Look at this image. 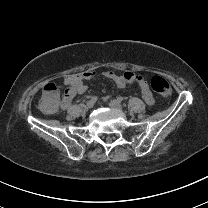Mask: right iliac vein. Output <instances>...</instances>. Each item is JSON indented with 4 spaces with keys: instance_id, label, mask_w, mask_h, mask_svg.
<instances>
[{
    "instance_id": "1",
    "label": "right iliac vein",
    "mask_w": 208,
    "mask_h": 208,
    "mask_svg": "<svg viewBox=\"0 0 208 208\" xmlns=\"http://www.w3.org/2000/svg\"><path fill=\"white\" fill-rule=\"evenodd\" d=\"M95 102H93L92 100L87 102V108H92L94 106Z\"/></svg>"
}]
</instances>
